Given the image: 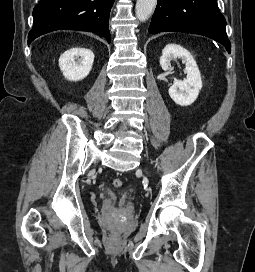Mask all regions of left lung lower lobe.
<instances>
[{"label": "left lung lower lobe", "mask_w": 255, "mask_h": 272, "mask_svg": "<svg viewBox=\"0 0 255 272\" xmlns=\"http://www.w3.org/2000/svg\"><path fill=\"white\" fill-rule=\"evenodd\" d=\"M159 32L200 34L221 43L231 52L226 20L217 0H157L149 33Z\"/></svg>", "instance_id": "obj_1"}]
</instances>
